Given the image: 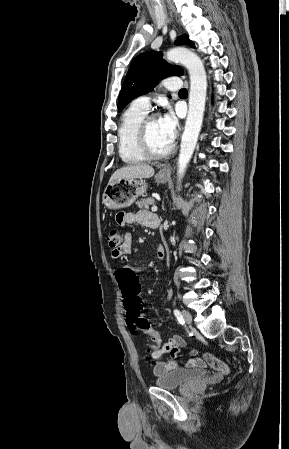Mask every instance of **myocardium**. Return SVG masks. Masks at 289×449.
<instances>
[{"mask_svg": "<svg viewBox=\"0 0 289 449\" xmlns=\"http://www.w3.org/2000/svg\"><path fill=\"white\" fill-rule=\"evenodd\" d=\"M155 119H157L156 115H149L141 122L138 130V146L146 159L160 160L169 157L175 151V143L173 142L170 148L163 153H155L151 149L148 139V128L150 123Z\"/></svg>", "mask_w": 289, "mask_h": 449, "instance_id": "f54148a6", "label": "myocardium"}]
</instances>
